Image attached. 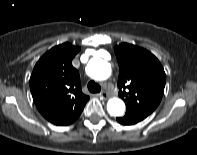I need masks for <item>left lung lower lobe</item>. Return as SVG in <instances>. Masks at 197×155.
<instances>
[{"label": "left lung lower lobe", "mask_w": 197, "mask_h": 155, "mask_svg": "<svg viewBox=\"0 0 197 155\" xmlns=\"http://www.w3.org/2000/svg\"><path fill=\"white\" fill-rule=\"evenodd\" d=\"M117 121L120 123V124H123V125H133V124H136L138 123L139 121H137L136 119L134 118H131L127 115L123 116V117H118L117 118Z\"/></svg>", "instance_id": "obj_1"}]
</instances>
